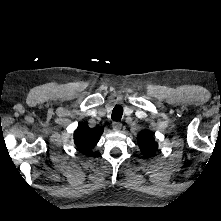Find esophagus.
<instances>
[{
    "instance_id": "esophagus-1",
    "label": "esophagus",
    "mask_w": 221,
    "mask_h": 221,
    "mask_svg": "<svg viewBox=\"0 0 221 221\" xmlns=\"http://www.w3.org/2000/svg\"><path fill=\"white\" fill-rule=\"evenodd\" d=\"M112 127L114 131H120L122 128V124L120 122H113Z\"/></svg>"
}]
</instances>
